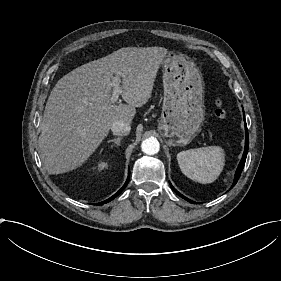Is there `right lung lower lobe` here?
I'll return each instance as SVG.
<instances>
[{
    "label": "right lung lower lobe",
    "mask_w": 281,
    "mask_h": 281,
    "mask_svg": "<svg viewBox=\"0 0 281 281\" xmlns=\"http://www.w3.org/2000/svg\"><path fill=\"white\" fill-rule=\"evenodd\" d=\"M129 178H130V172H129L128 178H127L124 186L116 194H114L112 197H110L109 199H107V200H105V201H103L101 203H97V205L105 204V203L110 202L111 200H113L115 197H117L123 191V189L127 186L128 182H129Z\"/></svg>",
    "instance_id": "98d812e1"
}]
</instances>
